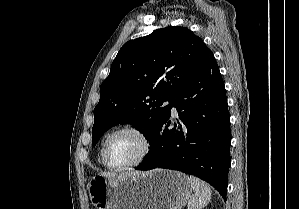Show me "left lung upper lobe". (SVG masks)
Listing matches in <instances>:
<instances>
[{
  "instance_id": "5c2ea615",
  "label": "left lung upper lobe",
  "mask_w": 299,
  "mask_h": 209,
  "mask_svg": "<svg viewBox=\"0 0 299 209\" xmlns=\"http://www.w3.org/2000/svg\"><path fill=\"white\" fill-rule=\"evenodd\" d=\"M185 27H165L125 43L100 87L92 145L117 124H131L151 142L174 94L213 58Z\"/></svg>"
}]
</instances>
